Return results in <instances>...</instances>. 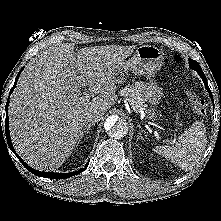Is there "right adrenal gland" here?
Returning a JSON list of instances; mask_svg holds the SVG:
<instances>
[{
  "mask_svg": "<svg viewBox=\"0 0 221 221\" xmlns=\"http://www.w3.org/2000/svg\"><path fill=\"white\" fill-rule=\"evenodd\" d=\"M92 126H94V124L85 125V128L83 129V131L81 133V136H80V141L83 139L84 134H89L90 133V129H91Z\"/></svg>",
  "mask_w": 221,
  "mask_h": 221,
  "instance_id": "2a0ac1e0",
  "label": "right adrenal gland"
}]
</instances>
